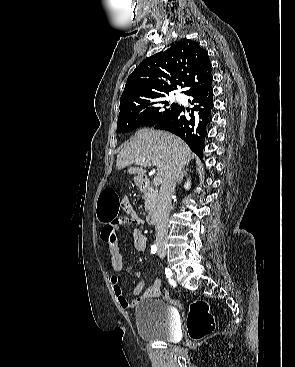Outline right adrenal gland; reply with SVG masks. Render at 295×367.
Returning a JSON list of instances; mask_svg holds the SVG:
<instances>
[{"mask_svg":"<svg viewBox=\"0 0 295 367\" xmlns=\"http://www.w3.org/2000/svg\"><path fill=\"white\" fill-rule=\"evenodd\" d=\"M186 172H187V169H185V167H183V168H182V171H181V173H180V177H179V179H178V184H180V183L182 182L183 178H184V177H185V175H186Z\"/></svg>","mask_w":295,"mask_h":367,"instance_id":"obj_1","label":"right adrenal gland"}]
</instances>
